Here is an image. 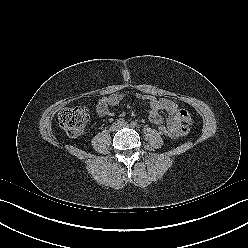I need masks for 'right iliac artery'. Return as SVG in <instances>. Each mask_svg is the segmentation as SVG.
I'll return each instance as SVG.
<instances>
[{
	"label": "right iliac artery",
	"mask_w": 248,
	"mask_h": 248,
	"mask_svg": "<svg viewBox=\"0 0 248 248\" xmlns=\"http://www.w3.org/2000/svg\"><path fill=\"white\" fill-rule=\"evenodd\" d=\"M124 122H125V120L122 119V118H120V119L117 120V123L120 124V125L123 124Z\"/></svg>",
	"instance_id": "obj_1"
}]
</instances>
